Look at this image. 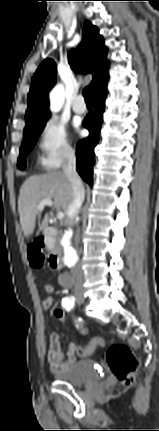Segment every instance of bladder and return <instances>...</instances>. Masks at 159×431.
Segmentation results:
<instances>
[{
  "label": "bladder",
  "instance_id": "1",
  "mask_svg": "<svg viewBox=\"0 0 159 431\" xmlns=\"http://www.w3.org/2000/svg\"><path fill=\"white\" fill-rule=\"evenodd\" d=\"M56 380L74 386L100 380L102 372L91 359H83L73 363L66 369L53 373Z\"/></svg>",
  "mask_w": 159,
  "mask_h": 431
}]
</instances>
